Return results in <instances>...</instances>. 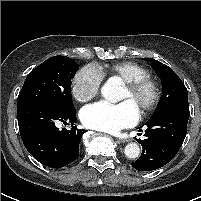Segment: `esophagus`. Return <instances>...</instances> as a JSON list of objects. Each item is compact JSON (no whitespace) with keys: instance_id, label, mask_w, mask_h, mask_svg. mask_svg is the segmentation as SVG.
<instances>
[{"instance_id":"obj_1","label":"esophagus","mask_w":201,"mask_h":201,"mask_svg":"<svg viewBox=\"0 0 201 201\" xmlns=\"http://www.w3.org/2000/svg\"><path fill=\"white\" fill-rule=\"evenodd\" d=\"M117 141H118L119 143H126V142H128V139L117 138Z\"/></svg>"}]
</instances>
